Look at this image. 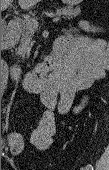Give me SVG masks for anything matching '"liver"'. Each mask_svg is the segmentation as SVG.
Here are the masks:
<instances>
[{
	"instance_id": "liver-1",
	"label": "liver",
	"mask_w": 109,
	"mask_h": 170,
	"mask_svg": "<svg viewBox=\"0 0 109 170\" xmlns=\"http://www.w3.org/2000/svg\"><path fill=\"white\" fill-rule=\"evenodd\" d=\"M19 1L23 8H28V7L35 5L36 3L40 2L41 0H19ZM4 2L8 3L9 1L5 0Z\"/></svg>"
}]
</instances>
